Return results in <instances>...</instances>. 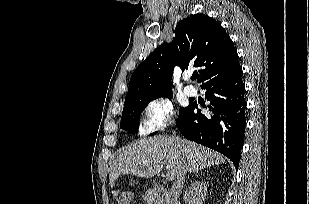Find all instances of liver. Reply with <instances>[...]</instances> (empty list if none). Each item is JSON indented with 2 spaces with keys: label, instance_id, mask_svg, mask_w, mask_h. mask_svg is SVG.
I'll list each match as a JSON object with an SVG mask.
<instances>
[{
  "label": "liver",
  "instance_id": "obj_1",
  "mask_svg": "<svg viewBox=\"0 0 309 204\" xmlns=\"http://www.w3.org/2000/svg\"><path fill=\"white\" fill-rule=\"evenodd\" d=\"M224 162L221 154L197 143L159 135L138 140L123 149L111 166L109 181L114 187L124 174L151 178L163 165L176 178L183 168L192 173Z\"/></svg>",
  "mask_w": 309,
  "mask_h": 204
}]
</instances>
